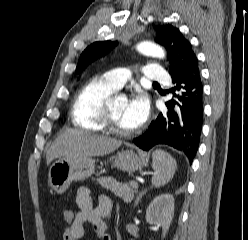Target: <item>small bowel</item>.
Here are the masks:
<instances>
[{"label":"small bowel","mask_w":248,"mask_h":240,"mask_svg":"<svg viewBox=\"0 0 248 240\" xmlns=\"http://www.w3.org/2000/svg\"><path fill=\"white\" fill-rule=\"evenodd\" d=\"M76 204L79 211L75 214L71 223L67 224L62 240H79L84 235V224H91L94 232L101 240H111L105 233L107 220L111 217L113 211V202L105 194L97 197V204L93 206L90 189L81 186L76 193Z\"/></svg>","instance_id":"c3829d8e"}]
</instances>
